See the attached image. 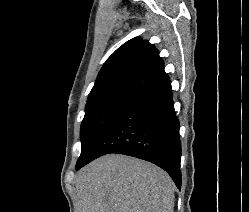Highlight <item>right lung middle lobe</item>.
Listing matches in <instances>:
<instances>
[{
    "mask_svg": "<svg viewBox=\"0 0 249 212\" xmlns=\"http://www.w3.org/2000/svg\"><path fill=\"white\" fill-rule=\"evenodd\" d=\"M139 95L131 92H112L87 100L81 124L82 150L77 161L79 167L111 122Z\"/></svg>",
    "mask_w": 249,
    "mask_h": 212,
    "instance_id": "right-lung-middle-lobe-1",
    "label": "right lung middle lobe"
}]
</instances>
